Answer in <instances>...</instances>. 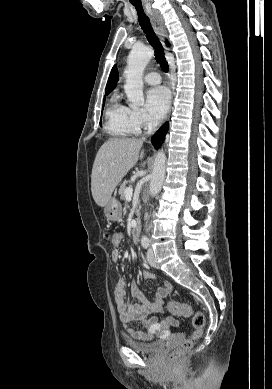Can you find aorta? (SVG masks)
<instances>
[{"label": "aorta", "instance_id": "762f6f07", "mask_svg": "<svg viewBox=\"0 0 272 389\" xmlns=\"http://www.w3.org/2000/svg\"><path fill=\"white\" fill-rule=\"evenodd\" d=\"M154 55V51L146 46H134L127 59L125 70L126 83L124 86L128 101L134 106H140L144 102L143 95V71ZM166 155L163 150L155 156L153 171L150 181V195L156 196L165 179ZM144 236L142 241H147Z\"/></svg>", "mask_w": 272, "mask_h": 389}]
</instances>
